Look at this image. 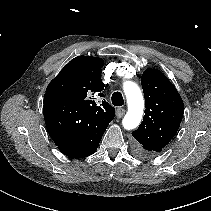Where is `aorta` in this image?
Wrapping results in <instances>:
<instances>
[{"label": "aorta", "mask_w": 211, "mask_h": 211, "mask_svg": "<svg viewBox=\"0 0 211 211\" xmlns=\"http://www.w3.org/2000/svg\"><path fill=\"white\" fill-rule=\"evenodd\" d=\"M123 90L127 99L128 112L122 120V125L126 130H131L136 128L141 122L144 99L139 86L134 82H124Z\"/></svg>", "instance_id": "obj_1"}]
</instances>
